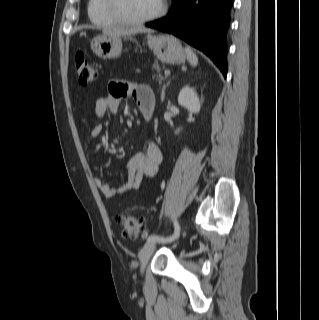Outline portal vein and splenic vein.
Returning <instances> with one entry per match:
<instances>
[{
  "instance_id": "18ae733b",
  "label": "portal vein and splenic vein",
  "mask_w": 319,
  "mask_h": 320,
  "mask_svg": "<svg viewBox=\"0 0 319 320\" xmlns=\"http://www.w3.org/2000/svg\"><path fill=\"white\" fill-rule=\"evenodd\" d=\"M165 75L169 76L170 75V71L169 70H165Z\"/></svg>"
}]
</instances>
